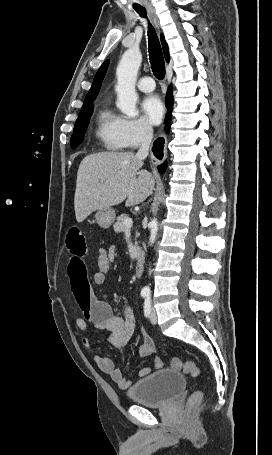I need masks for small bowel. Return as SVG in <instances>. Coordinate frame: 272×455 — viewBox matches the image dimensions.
Wrapping results in <instances>:
<instances>
[{
    "instance_id": "c3829d8e",
    "label": "small bowel",
    "mask_w": 272,
    "mask_h": 455,
    "mask_svg": "<svg viewBox=\"0 0 272 455\" xmlns=\"http://www.w3.org/2000/svg\"><path fill=\"white\" fill-rule=\"evenodd\" d=\"M67 248L72 257L68 264V274L70 278L71 291L75 301L81 310V315L75 319V324L82 332H88V323L94 324L98 330L109 332V342L118 349H123L131 339L135 330V319L130 307L126 306L120 315L114 314L106 297L97 299L91 290L87 267L83 261L86 253L85 239L78 228L73 227L67 235ZM111 262L115 260L116 250L114 247H109L107 250ZM143 342L138 348V354L141 357L150 356L155 345L152 337L142 330ZM85 346H89L88 340L83 339ZM93 359L97 366L122 389H127L132 385V381L125 378L122 371L117 368L114 362L100 354L94 353ZM162 367L160 358H155L154 368ZM150 372L148 367H144L139 371V376H145Z\"/></svg>"
}]
</instances>
